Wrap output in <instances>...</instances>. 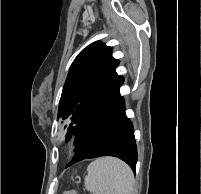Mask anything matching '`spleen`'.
<instances>
[{"label": "spleen", "mask_w": 201, "mask_h": 194, "mask_svg": "<svg viewBox=\"0 0 201 194\" xmlns=\"http://www.w3.org/2000/svg\"><path fill=\"white\" fill-rule=\"evenodd\" d=\"M85 189L93 194H133L134 175L130 167L115 157H102L87 168Z\"/></svg>", "instance_id": "obj_1"}]
</instances>
